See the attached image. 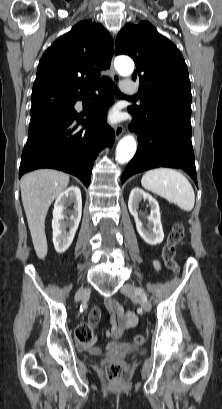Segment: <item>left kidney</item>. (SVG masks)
<instances>
[{
  "mask_svg": "<svg viewBox=\"0 0 222 409\" xmlns=\"http://www.w3.org/2000/svg\"><path fill=\"white\" fill-rule=\"evenodd\" d=\"M142 200H148L151 209L150 215L147 216V229L143 227L142 221L138 218L139 203ZM128 208L130 214L134 217L136 228L142 239L150 244L156 245L163 241L164 233L160 220L159 204L150 194L146 193L139 187L134 188L129 196Z\"/></svg>",
  "mask_w": 222,
  "mask_h": 409,
  "instance_id": "obj_1",
  "label": "left kidney"
}]
</instances>
